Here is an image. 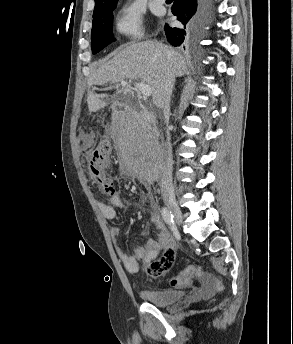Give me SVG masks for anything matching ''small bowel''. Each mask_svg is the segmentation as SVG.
I'll list each match as a JSON object with an SVG mask.
<instances>
[{"instance_id":"small-bowel-1","label":"small bowel","mask_w":293,"mask_h":344,"mask_svg":"<svg viewBox=\"0 0 293 344\" xmlns=\"http://www.w3.org/2000/svg\"><path fill=\"white\" fill-rule=\"evenodd\" d=\"M80 143L84 150H87L90 146V140L86 137H81ZM122 207H124V201L119 194L111 196L108 204L100 203L99 205L103 216L110 221L115 219L116 209ZM151 222L158 230V241L148 239L143 245L134 249L132 253H128L120 243L118 239L119 228H110L115 251L123 266L132 274H137L145 268L150 276L157 277L169 271L174 263L176 247L169 231L156 213L152 214ZM161 250L163 255L160 259H157ZM194 278L199 282V286L192 289L191 300L202 299L214 294L216 285L211 277L202 274ZM193 279H190L184 285L190 284Z\"/></svg>"}]
</instances>
